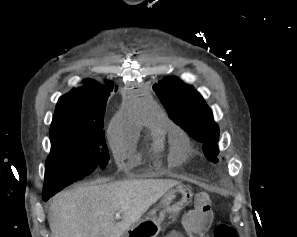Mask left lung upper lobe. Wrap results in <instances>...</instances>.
Instances as JSON below:
<instances>
[{
    "instance_id": "obj_1",
    "label": "left lung upper lobe",
    "mask_w": 297,
    "mask_h": 237,
    "mask_svg": "<svg viewBox=\"0 0 297 237\" xmlns=\"http://www.w3.org/2000/svg\"><path fill=\"white\" fill-rule=\"evenodd\" d=\"M153 89L168 111L170 118L196 141L203 143L205 156L218 161L219 128L211 109L202 96L176 77H166Z\"/></svg>"
}]
</instances>
